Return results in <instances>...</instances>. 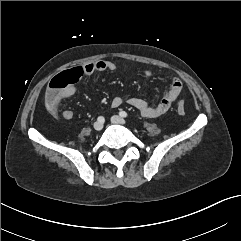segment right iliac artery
Instances as JSON below:
<instances>
[{"label": "right iliac artery", "mask_w": 241, "mask_h": 241, "mask_svg": "<svg viewBox=\"0 0 241 241\" xmlns=\"http://www.w3.org/2000/svg\"><path fill=\"white\" fill-rule=\"evenodd\" d=\"M97 120L99 121V122H104V117L103 116H99L98 118H97Z\"/></svg>", "instance_id": "obj_1"}]
</instances>
